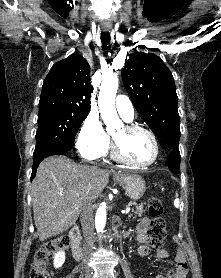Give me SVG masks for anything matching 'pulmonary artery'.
<instances>
[{
    "label": "pulmonary artery",
    "mask_w": 221,
    "mask_h": 278,
    "mask_svg": "<svg viewBox=\"0 0 221 278\" xmlns=\"http://www.w3.org/2000/svg\"><path fill=\"white\" fill-rule=\"evenodd\" d=\"M115 107L125 121L130 122L134 119V107L128 97L118 96L115 100Z\"/></svg>",
    "instance_id": "e3ab8cb5"
}]
</instances>
